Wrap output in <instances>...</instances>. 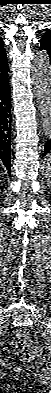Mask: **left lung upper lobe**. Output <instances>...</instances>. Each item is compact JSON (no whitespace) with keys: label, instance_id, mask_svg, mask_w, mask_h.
<instances>
[{"label":"left lung upper lobe","instance_id":"5c2ea615","mask_svg":"<svg viewBox=\"0 0 51 393\" xmlns=\"http://www.w3.org/2000/svg\"><path fill=\"white\" fill-rule=\"evenodd\" d=\"M41 49L47 51L51 62V30L45 31L40 39Z\"/></svg>","mask_w":51,"mask_h":393}]
</instances>
